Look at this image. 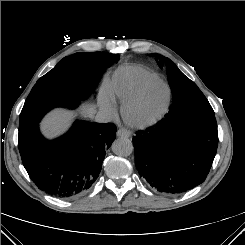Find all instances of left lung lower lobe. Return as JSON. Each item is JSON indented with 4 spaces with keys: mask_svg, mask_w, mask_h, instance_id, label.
Segmentation results:
<instances>
[{
    "mask_svg": "<svg viewBox=\"0 0 245 245\" xmlns=\"http://www.w3.org/2000/svg\"><path fill=\"white\" fill-rule=\"evenodd\" d=\"M135 165L157 191L178 194L204 182L218 146L215 114L184 109L133 138Z\"/></svg>",
    "mask_w": 245,
    "mask_h": 245,
    "instance_id": "1",
    "label": "left lung lower lobe"
}]
</instances>
